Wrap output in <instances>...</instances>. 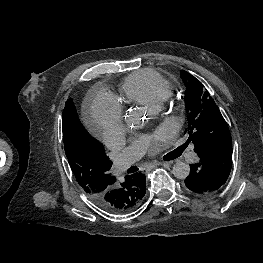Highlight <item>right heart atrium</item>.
<instances>
[{
	"label": "right heart atrium",
	"mask_w": 263,
	"mask_h": 263,
	"mask_svg": "<svg viewBox=\"0 0 263 263\" xmlns=\"http://www.w3.org/2000/svg\"><path fill=\"white\" fill-rule=\"evenodd\" d=\"M90 118L103 141L108 142L122 129L123 110L110 94L99 92L92 100Z\"/></svg>",
	"instance_id": "1"
}]
</instances>
